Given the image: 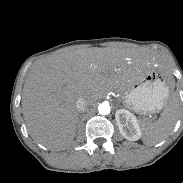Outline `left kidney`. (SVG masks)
Listing matches in <instances>:
<instances>
[{"label": "left kidney", "instance_id": "5707ae66", "mask_svg": "<svg viewBox=\"0 0 183 183\" xmlns=\"http://www.w3.org/2000/svg\"><path fill=\"white\" fill-rule=\"evenodd\" d=\"M115 119L120 133L124 138L130 141H136L141 138V129L138 119L130 111L119 109L115 113Z\"/></svg>", "mask_w": 183, "mask_h": 183}]
</instances>
